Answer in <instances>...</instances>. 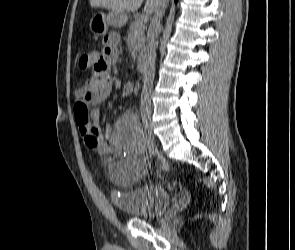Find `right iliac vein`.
Listing matches in <instances>:
<instances>
[{"mask_svg":"<svg viewBox=\"0 0 295 250\" xmlns=\"http://www.w3.org/2000/svg\"><path fill=\"white\" fill-rule=\"evenodd\" d=\"M143 124H144V127L147 131L150 132L152 130V123L147 117L143 118Z\"/></svg>","mask_w":295,"mask_h":250,"instance_id":"obj_1","label":"right iliac vein"}]
</instances>
